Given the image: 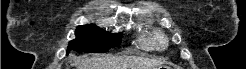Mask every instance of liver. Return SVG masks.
<instances>
[{"label":"liver","instance_id":"liver-1","mask_svg":"<svg viewBox=\"0 0 246 69\" xmlns=\"http://www.w3.org/2000/svg\"><path fill=\"white\" fill-rule=\"evenodd\" d=\"M77 69H151L159 61L142 57L93 56L77 60Z\"/></svg>","mask_w":246,"mask_h":69}]
</instances>
